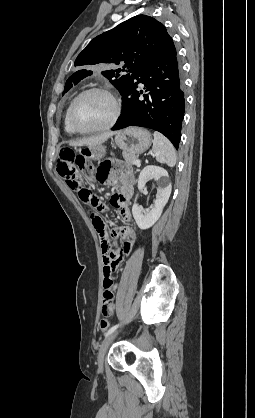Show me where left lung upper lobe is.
Wrapping results in <instances>:
<instances>
[{
	"label": "left lung upper lobe",
	"instance_id": "obj_1",
	"mask_svg": "<svg viewBox=\"0 0 255 418\" xmlns=\"http://www.w3.org/2000/svg\"><path fill=\"white\" fill-rule=\"evenodd\" d=\"M171 39L162 23L146 15H137L95 37L78 55L75 66H121L107 69L101 74L122 94L132 73L151 55L162 50ZM92 74L93 71L90 69H81L73 73L66 81L64 92Z\"/></svg>",
	"mask_w": 255,
	"mask_h": 418
}]
</instances>
